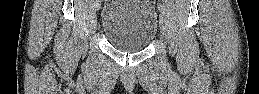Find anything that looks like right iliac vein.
I'll list each match as a JSON object with an SVG mask.
<instances>
[{"label":"right iliac vein","instance_id":"obj_1","mask_svg":"<svg viewBox=\"0 0 259 94\" xmlns=\"http://www.w3.org/2000/svg\"><path fill=\"white\" fill-rule=\"evenodd\" d=\"M96 7H97V10H98V9H99V5L97 4V6H96Z\"/></svg>","mask_w":259,"mask_h":94}]
</instances>
